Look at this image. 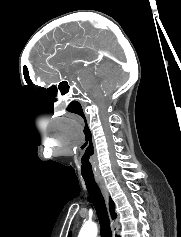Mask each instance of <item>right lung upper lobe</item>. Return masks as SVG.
I'll use <instances>...</instances> for the list:
<instances>
[{"mask_svg":"<svg viewBox=\"0 0 181 237\" xmlns=\"http://www.w3.org/2000/svg\"><path fill=\"white\" fill-rule=\"evenodd\" d=\"M109 206H110L111 217H112V219H115L117 216L115 213V204L111 199L109 201ZM68 237H71V234Z\"/></svg>","mask_w":181,"mask_h":237,"instance_id":"right-lung-upper-lobe-1","label":"right lung upper lobe"}]
</instances>
